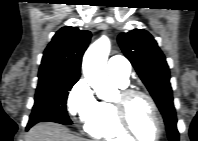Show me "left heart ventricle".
<instances>
[{
	"mask_svg": "<svg viewBox=\"0 0 198 141\" xmlns=\"http://www.w3.org/2000/svg\"><path fill=\"white\" fill-rule=\"evenodd\" d=\"M119 99V95L115 100ZM128 118L137 136L145 141H152L157 135L155 116L149 103L142 97H135L128 105Z\"/></svg>",
	"mask_w": 198,
	"mask_h": 141,
	"instance_id": "1",
	"label": "left heart ventricle"
}]
</instances>
